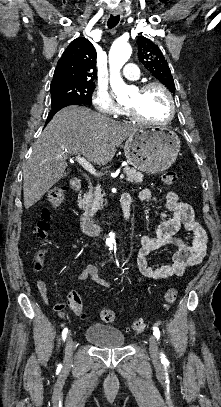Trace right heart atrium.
<instances>
[{
	"label": "right heart atrium",
	"instance_id": "right-heart-atrium-1",
	"mask_svg": "<svg viewBox=\"0 0 221 407\" xmlns=\"http://www.w3.org/2000/svg\"><path fill=\"white\" fill-rule=\"evenodd\" d=\"M92 103L95 109L108 116H116L122 108L116 103L111 93L101 87H97L92 94Z\"/></svg>",
	"mask_w": 221,
	"mask_h": 407
}]
</instances>
